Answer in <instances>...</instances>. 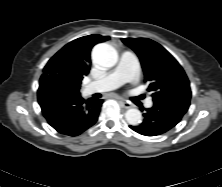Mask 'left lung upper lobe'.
I'll return each mask as SVG.
<instances>
[{
    "mask_svg": "<svg viewBox=\"0 0 222 187\" xmlns=\"http://www.w3.org/2000/svg\"><path fill=\"white\" fill-rule=\"evenodd\" d=\"M122 41L138 55L153 100L178 93L191 94L183 68L164 47L148 38H125Z\"/></svg>",
    "mask_w": 222,
    "mask_h": 187,
    "instance_id": "left-lung-upper-lobe-1",
    "label": "left lung upper lobe"
}]
</instances>
